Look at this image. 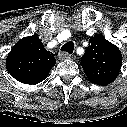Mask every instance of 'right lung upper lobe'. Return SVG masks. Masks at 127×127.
<instances>
[{
  "instance_id": "cb5924a9",
  "label": "right lung upper lobe",
  "mask_w": 127,
  "mask_h": 127,
  "mask_svg": "<svg viewBox=\"0 0 127 127\" xmlns=\"http://www.w3.org/2000/svg\"><path fill=\"white\" fill-rule=\"evenodd\" d=\"M55 63L54 55L33 35L14 45L7 56L6 69L19 82L38 84L48 76Z\"/></svg>"
}]
</instances>
